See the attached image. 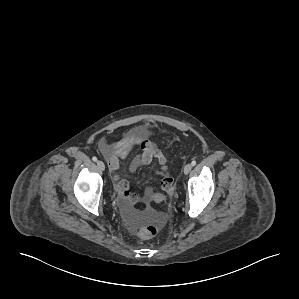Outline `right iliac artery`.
Masks as SVG:
<instances>
[{
  "instance_id": "right-iliac-artery-1",
  "label": "right iliac artery",
  "mask_w": 299,
  "mask_h": 299,
  "mask_svg": "<svg viewBox=\"0 0 299 299\" xmlns=\"http://www.w3.org/2000/svg\"><path fill=\"white\" fill-rule=\"evenodd\" d=\"M92 160H93L94 162H96V161H97V157L94 156V157L92 158Z\"/></svg>"
}]
</instances>
